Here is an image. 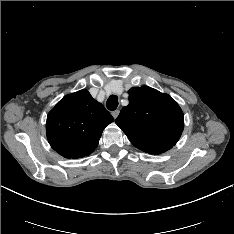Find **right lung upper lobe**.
Segmentation results:
<instances>
[{"instance_id": "1", "label": "right lung upper lobe", "mask_w": 234, "mask_h": 234, "mask_svg": "<svg viewBox=\"0 0 234 234\" xmlns=\"http://www.w3.org/2000/svg\"><path fill=\"white\" fill-rule=\"evenodd\" d=\"M111 114L83 89L63 97L47 116V139L51 147L68 159L90 155L98 146Z\"/></svg>"}]
</instances>
